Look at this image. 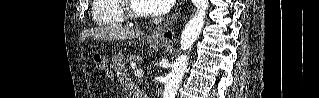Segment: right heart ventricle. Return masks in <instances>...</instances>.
<instances>
[{
	"instance_id": "right-heart-ventricle-1",
	"label": "right heart ventricle",
	"mask_w": 319,
	"mask_h": 98,
	"mask_svg": "<svg viewBox=\"0 0 319 98\" xmlns=\"http://www.w3.org/2000/svg\"><path fill=\"white\" fill-rule=\"evenodd\" d=\"M120 0H94L91 14L95 24H121L125 17L120 9Z\"/></svg>"
}]
</instances>
